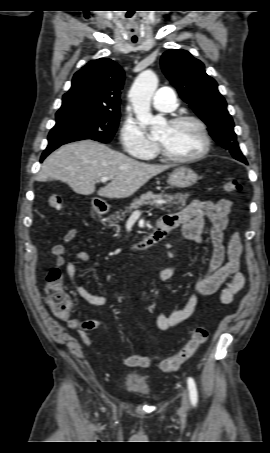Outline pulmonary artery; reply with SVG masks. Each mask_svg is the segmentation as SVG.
Returning a JSON list of instances; mask_svg holds the SVG:
<instances>
[{"label":"pulmonary artery","instance_id":"obj_1","mask_svg":"<svg viewBox=\"0 0 270 453\" xmlns=\"http://www.w3.org/2000/svg\"><path fill=\"white\" fill-rule=\"evenodd\" d=\"M152 105L161 112L174 111L177 107V99L174 91L169 87L160 88L152 99Z\"/></svg>","mask_w":270,"mask_h":453}]
</instances>
